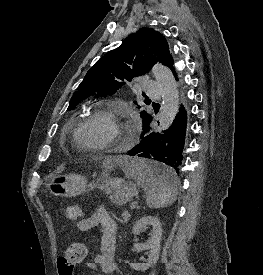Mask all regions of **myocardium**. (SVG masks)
Segmentation results:
<instances>
[{"mask_svg":"<svg viewBox=\"0 0 263 275\" xmlns=\"http://www.w3.org/2000/svg\"><path fill=\"white\" fill-rule=\"evenodd\" d=\"M95 118H103L108 120L113 128L114 135L111 139L102 143H87L81 137L82 129L91 120ZM73 139L76 146L91 153L110 152L122 149L129 139V130L125 123L117 116L115 112L106 108H96L83 116L76 124L73 132Z\"/></svg>","mask_w":263,"mask_h":275,"instance_id":"obj_1","label":"myocardium"}]
</instances>
